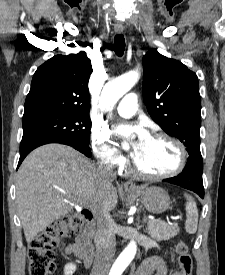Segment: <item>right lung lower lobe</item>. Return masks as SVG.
I'll return each instance as SVG.
<instances>
[{
	"mask_svg": "<svg viewBox=\"0 0 225 275\" xmlns=\"http://www.w3.org/2000/svg\"><path fill=\"white\" fill-rule=\"evenodd\" d=\"M47 143H61L69 145L76 150L82 152L87 157L91 156V150L89 146H84L79 143L63 139V138H56V137H47V136H30L26 138H22L21 144H20V159L18 163L19 165L22 163L24 158L35 148L47 144Z\"/></svg>",
	"mask_w": 225,
	"mask_h": 275,
	"instance_id": "1",
	"label": "right lung lower lobe"
}]
</instances>
